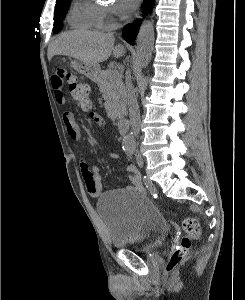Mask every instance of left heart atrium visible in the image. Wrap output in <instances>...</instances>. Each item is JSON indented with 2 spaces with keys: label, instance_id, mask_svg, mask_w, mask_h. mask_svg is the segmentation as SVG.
Instances as JSON below:
<instances>
[{
  "label": "left heart atrium",
  "instance_id": "obj_1",
  "mask_svg": "<svg viewBox=\"0 0 245 300\" xmlns=\"http://www.w3.org/2000/svg\"><path fill=\"white\" fill-rule=\"evenodd\" d=\"M120 1L122 3V8L124 11L132 10L139 2V0H120Z\"/></svg>",
  "mask_w": 245,
  "mask_h": 300
}]
</instances>
